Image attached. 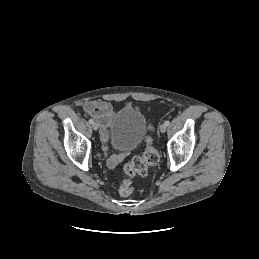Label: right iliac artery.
<instances>
[{
  "label": "right iliac artery",
  "mask_w": 259,
  "mask_h": 259,
  "mask_svg": "<svg viewBox=\"0 0 259 259\" xmlns=\"http://www.w3.org/2000/svg\"><path fill=\"white\" fill-rule=\"evenodd\" d=\"M89 123H90V124H93V123H94V120H93V119H89Z\"/></svg>",
  "instance_id": "1"
}]
</instances>
